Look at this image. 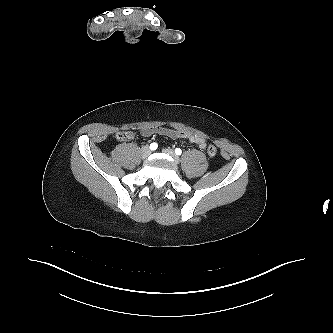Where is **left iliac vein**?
Instances as JSON below:
<instances>
[{
  "label": "left iliac vein",
  "mask_w": 333,
  "mask_h": 333,
  "mask_svg": "<svg viewBox=\"0 0 333 333\" xmlns=\"http://www.w3.org/2000/svg\"><path fill=\"white\" fill-rule=\"evenodd\" d=\"M163 152L170 155L171 157H173L176 161L179 159V157L176 155V153L170 148L163 149Z\"/></svg>",
  "instance_id": "left-iliac-vein-1"
}]
</instances>
